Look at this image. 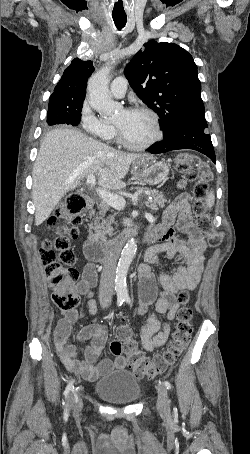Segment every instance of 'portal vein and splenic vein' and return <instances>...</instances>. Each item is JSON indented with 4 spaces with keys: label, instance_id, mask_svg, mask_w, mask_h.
<instances>
[{
    "label": "portal vein and splenic vein",
    "instance_id": "obj_1",
    "mask_svg": "<svg viewBox=\"0 0 250 454\" xmlns=\"http://www.w3.org/2000/svg\"><path fill=\"white\" fill-rule=\"evenodd\" d=\"M96 183V178L95 175L90 174L87 176V184L90 186H95ZM97 195L102 199L103 202L107 203L109 206L113 207L116 210H122L125 205L126 201L125 199L115 193H111L109 191L103 190V189H96ZM140 191H138L136 194H139Z\"/></svg>",
    "mask_w": 250,
    "mask_h": 454
}]
</instances>
